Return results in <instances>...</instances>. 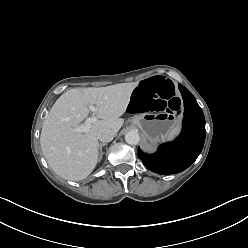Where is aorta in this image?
Returning a JSON list of instances; mask_svg holds the SVG:
<instances>
[{
  "label": "aorta",
  "mask_w": 248,
  "mask_h": 248,
  "mask_svg": "<svg viewBox=\"0 0 248 248\" xmlns=\"http://www.w3.org/2000/svg\"><path fill=\"white\" fill-rule=\"evenodd\" d=\"M125 141L130 145H137L140 142V136L136 131H129L125 135Z\"/></svg>",
  "instance_id": "1"
}]
</instances>
